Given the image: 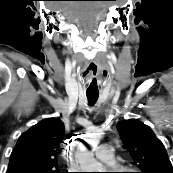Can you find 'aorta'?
Wrapping results in <instances>:
<instances>
[{"label":"aorta","mask_w":173,"mask_h":173,"mask_svg":"<svg viewBox=\"0 0 173 173\" xmlns=\"http://www.w3.org/2000/svg\"><path fill=\"white\" fill-rule=\"evenodd\" d=\"M100 134L96 132L87 135L86 141L90 145H97L100 141ZM82 172H103L102 164L97 162L94 154L88 150H79L76 154Z\"/></svg>","instance_id":"762f6f07"}]
</instances>
